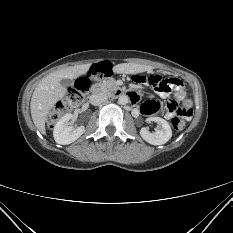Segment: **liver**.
Instances as JSON below:
<instances>
[{"label":"liver","instance_id":"liver-1","mask_svg":"<svg viewBox=\"0 0 233 233\" xmlns=\"http://www.w3.org/2000/svg\"><path fill=\"white\" fill-rule=\"evenodd\" d=\"M90 68V64H83L68 67L53 72L44 77L35 88L31 102V116L35 126L45 134V121L49 111L66 94V88L61 84V80L76 79L85 74ZM151 66L136 63H121L113 67L114 73L135 74L151 70Z\"/></svg>","mask_w":233,"mask_h":233}]
</instances>
